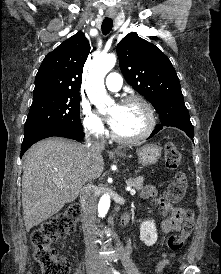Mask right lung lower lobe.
<instances>
[{
  "instance_id": "1",
  "label": "right lung lower lobe",
  "mask_w": 221,
  "mask_h": 274,
  "mask_svg": "<svg viewBox=\"0 0 221 274\" xmlns=\"http://www.w3.org/2000/svg\"><path fill=\"white\" fill-rule=\"evenodd\" d=\"M84 135L85 134L83 130H77L64 126H46L38 128L30 132L24 133L20 156H22L26 152V150L31 147V145L44 138L59 136L70 138L73 140H81Z\"/></svg>"
}]
</instances>
